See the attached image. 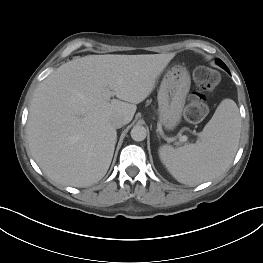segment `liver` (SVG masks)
Segmentation results:
<instances>
[{"mask_svg":"<svg viewBox=\"0 0 263 263\" xmlns=\"http://www.w3.org/2000/svg\"><path fill=\"white\" fill-rule=\"evenodd\" d=\"M174 56L89 55L61 65L43 80L30 104L27 139L44 174L73 187L101 180L117 140L112 118L131 122L136 104L151 94Z\"/></svg>","mask_w":263,"mask_h":263,"instance_id":"6515ba94","label":"liver"}]
</instances>
